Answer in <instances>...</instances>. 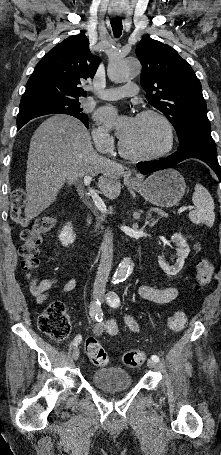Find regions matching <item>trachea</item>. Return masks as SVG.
Masks as SVG:
<instances>
[{
  "label": "trachea",
  "instance_id": "trachea-1",
  "mask_svg": "<svg viewBox=\"0 0 221 455\" xmlns=\"http://www.w3.org/2000/svg\"><path fill=\"white\" fill-rule=\"evenodd\" d=\"M111 26H112V30H113V33H114V36L116 38H119L122 34V20L117 18V19H113L111 21Z\"/></svg>",
  "mask_w": 221,
  "mask_h": 455
}]
</instances>
